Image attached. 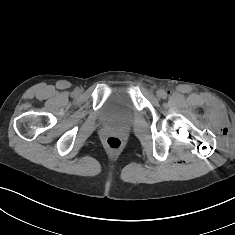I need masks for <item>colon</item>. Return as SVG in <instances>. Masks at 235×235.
Returning <instances> with one entry per match:
<instances>
[{
	"label": "colon",
	"mask_w": 235,
	"mask_h": 235,
	"mask_svg": "<svg viewBox=\"0 0 235 235\" xmlns=\"http://www.w3.org/2000/svg\"><path fill=\"white\" fill-rule=\"evenodd\" d=\"M106 146L111 151H118L122 147V141L117 136H109L106 139Z\"/></svg>",
	"instance_id": "colon-1"
}]
</instances>
